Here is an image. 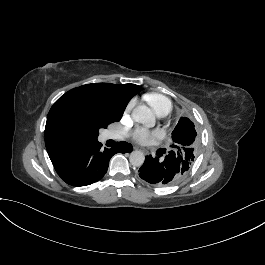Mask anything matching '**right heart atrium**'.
I'll list each match as a JSON object with an SVG mask.
<instances>
[{
	"label": "right heart atrium",
	"mask_w": 265,
	"mask_h": 265,
	"mask_svg": "<svg viewBox=\"0 0 265 265\" xmlns=\"http://www.w3.org/2000/svg\"><path fill=\"white\" fill-rule=\"evenodd\" d=\"M132 107H133V102H131V103L128 105V110H130Z\"/></svg>",
	"instance_id": "obj_1"
}]
</instances>
